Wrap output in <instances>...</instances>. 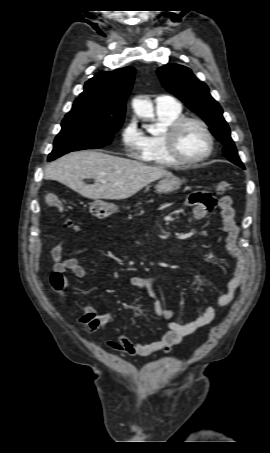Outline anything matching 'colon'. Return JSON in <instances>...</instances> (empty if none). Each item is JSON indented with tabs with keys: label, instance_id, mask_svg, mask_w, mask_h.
Segmentation results:
<instances>
[{
	"label": "colon",
	"instance_id": "colon-1",
	"mask_svg": "<svg viewBox=\"0 0 270 453\" xmlns=\"http://www.w3.org/2000/svg\"><path fill=\"white\" fill-rule=\"evenodd\" d=\"M231 187H232L231 183H229L228 181H220V182L217 183L216 193L217 194L226 193V192L231 190ZM196 194H197L198 200L201 203L207 205L208 208H213L214 207L215 199L210 194H208L206 192H198ZM45 201H46L48 206H50L52 208H55L57 210L61 211L64 208L62 200L60 199V197L57 194L47 193L46 196H45ZM51 284H52L53 288L57 292H61L62 289H63L62 276L60 274L54 273L51 276Z\"/></svg>",
	"mask_w": 270,
	"mask_h": 453
}]
</instances>
